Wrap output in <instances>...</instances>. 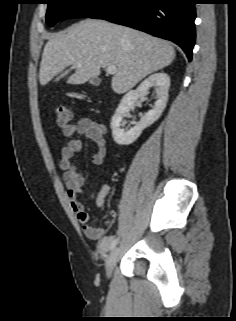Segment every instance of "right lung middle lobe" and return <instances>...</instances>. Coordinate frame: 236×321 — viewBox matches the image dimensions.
I'll list each match as a JSON object with an SVG mask.
<instances>
[{"mask_svg": "<svg viewBox=\"0 0 236 321\" xmlns=\"http://www.w3.org/2000/svg\"><path fill=\"white\" fill-rule=\"evenodd\" d=\"M111 0H46V23L53 26L68 18L88 17L105 7Z\"/></svg>", "mask_w": 236, "mask_h": 321, "instance_id": "obj_1", "label": "right lung middle lobe"}]
</instances>
